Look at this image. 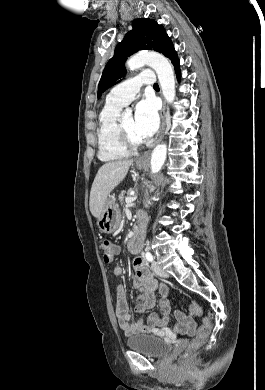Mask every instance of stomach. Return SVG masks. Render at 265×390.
I'll use <instances>...</instances> for the list:
<instances>
[{
  "instance_id": "stomach-1",
  "label": "stomach",
  "mask_w": 265,
  "mask_h": 390,
  "mask_svg": "<svg viewBox=\"0 0 265 390\" xmlns=\"http://www.w3.org/2000/svg\"><path fill=\"white\" fill-rule=\"evenodd\" d=\"M145 163H136L138 169H143ZM121 221V212L112 196H109L101 215L97 218V226L102 233L110 234L115 232Z\"/></svg>"
}]
</instances>
